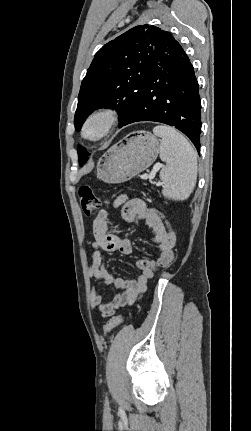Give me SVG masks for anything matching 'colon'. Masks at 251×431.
I'll return each mask as SVG.
<instances>
[{
	"mask_svg": "<svg viewBox=\"0 0 251 431\" xmlns=\"http://www.w3.org/2000/svg\"><path fill=\"white\" fill-rule=\"evenodd\" d=\"M82 211L86 216L92 215L104 202L105 199L98 196L91 187L81 186L78 190ZM124 319L123 314L113 316L104 326L106 335L111 333Z\"/></svg>",
	"mask_w": 251,
	"mask_h": 431,
	"instance_id": "colon-1",
	"label": "colon"
}]
</instances>
